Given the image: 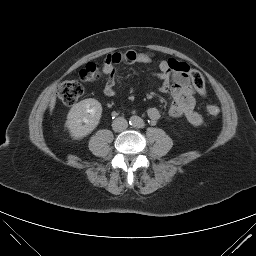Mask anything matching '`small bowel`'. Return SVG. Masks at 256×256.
<instances>
[{
    "mask_svg": "<svg viewBox=\"0 0 256 256\" xmlns=\"http://www.w3.org/2000/svg\"><path fill=\"white\" fill-rule=\"evenodd\" d=\"M116 59L113 65H104L103 73L107 76L104 87V94L107 97L116 96V65L125 64H148L152 57L149 53H139L135 51H127L124 53H114L111 55ZM190 67L184 63L174 59L162 60L159 62V72L156 77L161 80L160 90L168 92L173 98L172 104L165 116L168 119H176L185 117L189 123L198 126L203 123V117L195 111V89L191 84L189 76ZM147 115L151 120L157 121L163 118V114L159 109L150 107Z\"/></svg>",
    "mask_w": 256,
    "mask_h": 256,
    "instance_id": "1",
    "label": "small bowel"
}]
</instances>
